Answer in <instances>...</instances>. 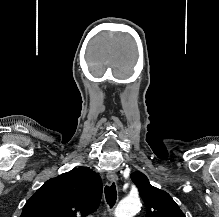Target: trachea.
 Masks as SVG:
<instances>
[{
  "instance_id": "obj_1",
  "label": "trachea",
  "mask_w": 219,
  "mask_h": 217,
  "mask_svg": "<svg viewBox=\"0 0 219 217\" xmlns=\"http://www.w3.org/2000/svg\"><path fill=\"white\" fill-rule=\"evenodd\" d=\"M105 198L110 208L114 206L117 199V191L115 183H112L110 186H105Z\"/></svg>"
}]
</instances>
